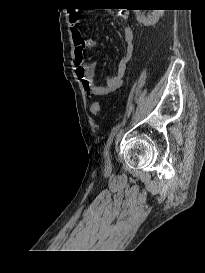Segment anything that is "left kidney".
Returning <instances> with one entry per match:
<instances>
[{
  "label": "left kidney",
  "instance_id": "5707ae66",
  "mask_svg": "<svg viewBox=\"0 0 205 273\" xmlns=\"http://www.w3.org/2000/svg\"><path fill=\"white\" fill-rule=\"evenodd\" d=\"M137 21L145 26L154 25L159 18L163 15L164 10H151V12L145 15L142 10H134Z\"/></svg>",
  "mask_w": 205,
  "mask_h": 273
}]
</instances>
